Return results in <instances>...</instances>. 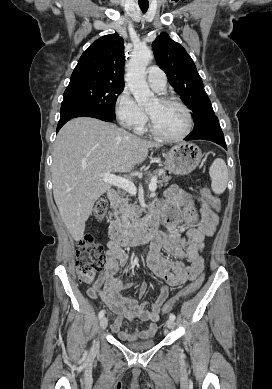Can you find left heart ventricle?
<instances>
[{
    "mask_svg": "<svg viewBox=\"0 0 272 389\" xmlns=\"http://www.w3.org/2000/svg\"><path fill=\"white\" fill-rule=\"evenodd\" d=\"M147 111L152 116L158 130L165 135L177 136L186 129L187 117L177 105L161 104L156 100Z\"/></svg>",
    "mask_w": 272,
    "mask_h": 389,
    "instance_id": "obj_1",
    "label": "left heart ventricle"
}]
</instances>
